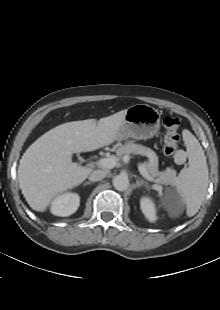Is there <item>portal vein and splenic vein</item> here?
<instances>
[{
    "instance_id": "portal-vein-and-splenic-vein-1",
    "label": "portal vein and splenic vein",
    "mask_w": 220,
    "mask_h": 310,
    "mask_svg": "<svg viewBox=\"0 0 220 310\" xmlns=\"http://www.w3.org/2000/svg\"><path fill=\"white\" fill-rule=\"evenodd\" d=\"M117 159L116 157H108V158H102L99 159L96 162V165L100 168H105V169H112L116 166ZM138 169L140 171V174L147 179L148 181H154V178H152L147 170L145 169L144 165L139 164ZM156 190H161V186L154 187Z\"/></svg>"
}]
</instances>
